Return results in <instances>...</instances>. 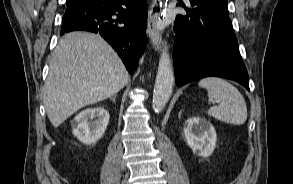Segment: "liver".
<instances>
[{"instance_id":"obj_1","label":"liver","mask_w":293,"mask_h":184,"mask_svg":"<svg viewBox=\"0 0 293 184\" xmlns=\"http://www.w3.org/2000/svg\"><path fill=\"white\" fill-rule=\"evenodd\" d=\"M130 80L121 59L99 35L74 31L52 53L44 106L57 128L81 108L116 95Z\"/></svg>"}]
</instances>
